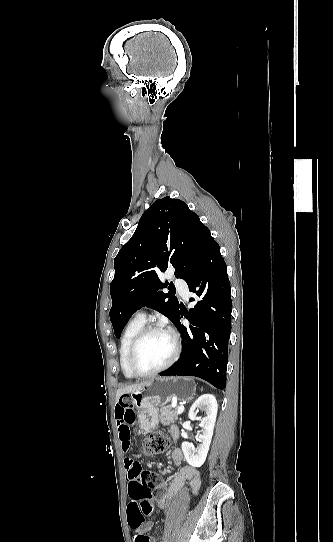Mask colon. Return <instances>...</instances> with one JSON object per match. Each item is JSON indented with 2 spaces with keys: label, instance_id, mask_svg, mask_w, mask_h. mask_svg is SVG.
<instances>
[{
  "label": "colon",
  "instance_id": "1",
  "mask_svg": "<svg viewBox=\"0 0 333 542\" xmlns=\"http://www.w3.org/2000/svg\"><path fill=\"white\" fill-rule=\"evenodd\" d=\"M169 446V440L161 431H156L145 437L141 443V448L147 456H155L164 452ZM128 480H136L129 483L127 490L130 494L127 498L129 504L127 507V518L131 525H143L149 522L154 509L152 505H136L139 501H145L152 497V489L161 486L160 475L149 470H143L140 467L137 458H126L124 462ZM139 541H144V537H138Z\"/></svg>",
  "mask_w": 333,
  "mask_h": 542
}]
</instances>
